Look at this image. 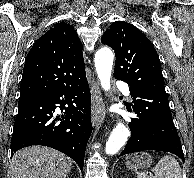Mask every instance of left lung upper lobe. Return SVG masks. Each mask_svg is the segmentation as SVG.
I'll return each instance as SVG.
<instances>
[{"label":"left lung upper lobe","instance_id":"left-lung-upper-lobe-1","mask_svg":"<svg viewBox=\"0 0 194 178\" xmlns=\"http://www.w3.org/2000/svg\"><path fill=\"white\" fill-rule=\"evenodd\" d=\"M101 41L115 50V78L130 87L166 93L158 54L139 29L116 21L105 31Z\"/></svg>","mask_w":194,"mask_h":178}]
</instances>
